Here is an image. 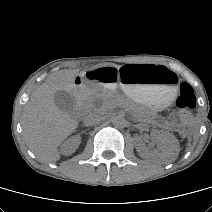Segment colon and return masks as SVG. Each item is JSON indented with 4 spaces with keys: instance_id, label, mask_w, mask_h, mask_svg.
I'll list each match as a JSON object with an SVG mask.
<instances>
[{
    "instance_id": "1",
    "label": "colon",
    "mask_w": 212,
    "mask_h": 212,
    "mask_svg": "<svg viewBox=\"0 0 212 212\" xmlns=\"http://www.w3.org/2000/svg\"><path fill=\"white\" fill-rule=\"evenodd\" d=\"M176 104L180 109L183 122L190 124L192 121L191 111L195 109L197 104L195 91L190 84L184 82L180 85Z\"/></svg>"
}]
</instances>
